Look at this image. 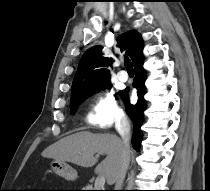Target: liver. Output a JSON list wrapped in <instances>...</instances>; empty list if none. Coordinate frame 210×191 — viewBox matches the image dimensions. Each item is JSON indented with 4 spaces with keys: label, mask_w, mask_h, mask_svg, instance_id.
<instances>
[{
    "label": "liver",
    "mask_w": 210,
    "mask_h": 191,
    "mask_svg": "<svg viewBox=\"0 0 210 191\" xmlns=\"http://www.w3.org/2000/svg\"><path fill=\"white\" fill-rule=\"evenodd\" d=\"M121 149L122 141L115 135L81 131L52 144L42 152V156L88 168L97 163L99 154H106L95 172L104 175L108 184H113L120 164Z\"/></svg>",
    "instance_id": "liver-1"
}]
</instances>
